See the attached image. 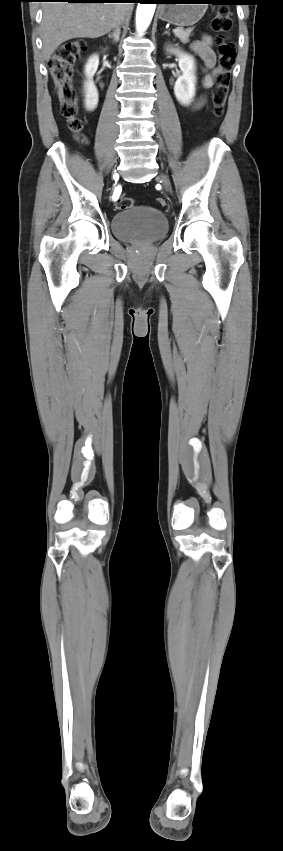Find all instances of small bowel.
Here are the masks:
<instances>
[{
	"mask_svg": "<svg viewBox=\"0 0 283 851\" xmlns=\"http://www.w3.org/2000/svg\"><path fill=\"white\" fill-rule=\"evenodd\" d=\"M192 49L204 62L206 74L203 79V86L205 88H210L213 85L216 74L218 73V69L216 68V55L212 48L211 37L203 35L199 40L193 42ZM204 103L205 101L202 99L198 101L193 108L199 109L204 105Z\"/></svg>",
	"mask_w": 283,
	"mask_h": 851,
	"instance_id": "c3829d8e",
	"label": "small bowel"
}]
</instances>
